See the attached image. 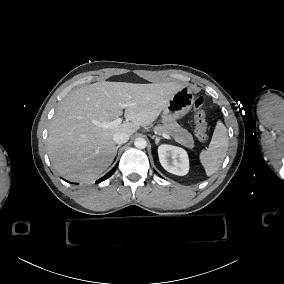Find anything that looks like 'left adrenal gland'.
I'll return each instance as SVG.
<instances>
[{
  "label": "left adrenal gland",
  "instance_id": "left-adrenal-gland-1",
  "mask_svg": "<svg viewBox=\"0 0 284 284\" xmlns=\"http://www.w3.org/2000/svg\"><path fill=\"white\" fill-rule=\"evenodd\" d=\"M152 139H155V140H156V144H157V145H159L160 140H161V138H160V137H158V136L154 135V136L152 137Z\"/></svg>",
  "mask_w": 284,
  "mask_h": 284
}]
</instances>
